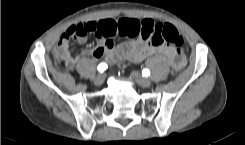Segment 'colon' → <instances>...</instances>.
Returning a JSON list of instances; mask_svg holds the SVG:
<instances>
[{"instance_id":"obj_1","label":"colon","mask_w":245,"mask_h":145,"mask_svg":"<svg viewBox=\"0 0 245 145\" xmlns=\"http://www.w3.org/2000/svg\"><path fill=\"white\" fill-rule=\"evenodd\" d=\"M92 33L91 26L85 23H76L71 25L63 34L59 41V45L63 46L70 39H80ZM117 34L127 38H135L140 36L143 40L149 42L154 46H170L175 49H180L184 44V38L179 30L167 23H152L145 22L143 24L131 22L128 24H121L120 31H113L109 34V38L115 37ZM65 53L63 49H59L54 54V60L59 64L64 59ZM182 67L180 60H173L172 68L174 71Z\"/></svg>"}]
</instances>
